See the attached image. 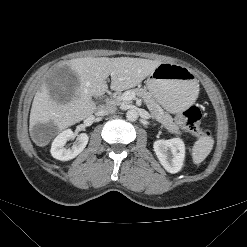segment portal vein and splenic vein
<instances>
[{"mask_svg":"<svg viewBox=\"0 0 247 247\" xmlns=\"http://www.w3.org/2000/svg\"><path fill=\"white\" fill-rule=\"evenodd\" d=\"M133 98H135V95L133 93H131L130 91H126L123 95H122V99L123 100H127L130 101Z\"/></svg>","mask_w":247,"mask_h":247,"instance_id":"18ae733b","label":"portal vein and splenic vein"}]
</instances>
